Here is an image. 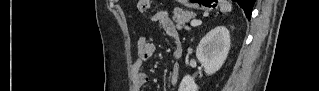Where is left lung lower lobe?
<instances>
[{
  "label": "left lung lower lobe",
  "mask_w": 319,
  "mask_h": 91,
  "mask_svg": "<svg viewBox=\"0 0 319 91\" xmlns=\"http://www.w3.org/2000/svg\"><path fill=\"white\" fill-rule=\"evenodd\" d=\"M236 2L243 8L246 17L250 20L255 0H236Z\"/></svg>",
  "instance_id": "obj_1"
}]
</instances>
